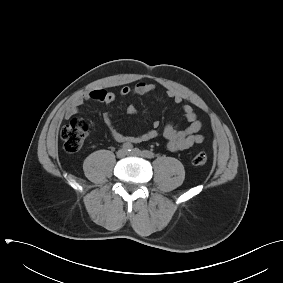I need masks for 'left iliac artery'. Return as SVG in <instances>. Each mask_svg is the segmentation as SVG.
I'll list each match as a JSON object with an SVG mask.
<instances>
[{
  "label": "left iliac artery",
  "mask_w": 283,
  "mask_h": 283,
  "mask_svg": "<svg viewBox=\"0 0 283 283\" xmlns=\"http://www.w3.org/2000/svg\"><path fill=\"white\" fill-rule=\"evenodd\" d=\"M143 155L144 157L149 158V159H152L155 157V154L148 150H143Z\"/></svg>",
  "instance_id": "obj_1"
}]
</instances>
